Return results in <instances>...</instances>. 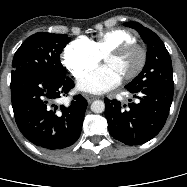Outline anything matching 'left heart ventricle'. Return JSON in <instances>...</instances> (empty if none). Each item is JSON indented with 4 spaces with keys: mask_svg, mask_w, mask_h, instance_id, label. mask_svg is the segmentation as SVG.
<instances>
[{
    "mask_svg": "<svg viewBox=\"0 0 187 187\" xmlns=\"http://www.w3.org/2000/svg\"><path fill=\"white\" fill-rule=\"evenodd\" d=\"M139 58V52L131 50L118 57H106L104 63L112 67L123 78L136 68Z\"/></svg>",
    "mask_w": 187,
    "mask_h": 187,
    "instance_id": "obj_1",
    "label": "left heart ventricle"
}]
</instances>
